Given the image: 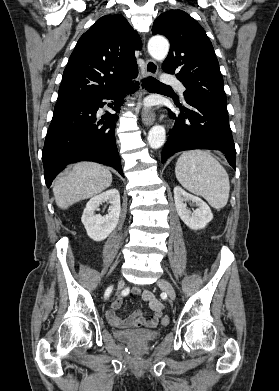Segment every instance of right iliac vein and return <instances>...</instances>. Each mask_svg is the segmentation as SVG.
I'll return each mask as SVG.
<instances>
[{
    "instance_id": "63e3f726",
    "label": "right iliac vein",
    "mask_w": 279,
    "mask_h": 391,
    "mask_svg": "<svg viewBox=\"0 0 279 391\" xmlns=\"http://www.w3.org/2000/svg\"><path fill=\"white\" fill-rule=\"evenodd\" d=\"M123 287H124V281H123V279H120V280L118 281V288H117V290L119 291V290H121Z\"/></svg>"
}]
</instances>
